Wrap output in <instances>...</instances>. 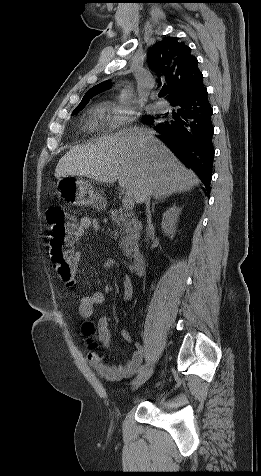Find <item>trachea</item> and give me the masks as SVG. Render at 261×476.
Returning <instances> with one entry per match:
<instances>
[{
  "label": "trachea",
  "instance_id": "obj_1",
  "mask_svg": "<svg viewBox=\"0 0 261 476\" xmlns=\"http://www.w3.org/2000/svg\"><path fill=\"white\" fill-rule=\"evenodd\" d=\"M165 94H166L165 91H161V92L159 93V96H160V97H163Z\"/></svg>",
  "mask_w": 261,
  "mask_h": 476
}]
</instances>
